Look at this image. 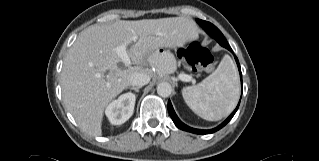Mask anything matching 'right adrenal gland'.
<instances>
[{
	"label": "right adrenal gland",
	"instance_id": "obj_1",
	"mask_svg": "<svg viewBox=\"0 0 319 161\" xmlns=\"http://www.w3.org/2000/svg\"><path fill=\"white\" fill-rule=\"evenodd\" d=\"M129 89L134 90L135 92H139L140 87H129Z\"/></svg>",
	"mask_w": 319,
	"mask_h": 161
}]
</instances>
